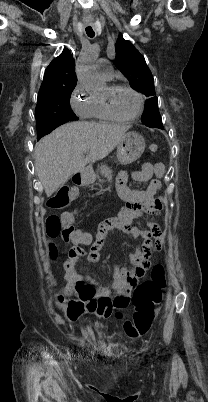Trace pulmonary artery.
Masks as SVG:
<instances>
[{
  "instance_id": "pulmonary-artery-1",
  "label": "pulmonary artery",
  "mask_w": 208,
  "mask_h": 402,
  "mask_svg": "<svg viewBox=\"0 0 208 402\" xmlns=\"http://www.w3.org/2000/svg\"><path fill=\"white\" fill-rule=\"evenodd\" d=\"M82 54H85L86 56H88L91 53H82ZM108 64H109V61L107 59L98 58L93 65L94 70L99 72L100 76L106 80H109L113 77L112 73L110 72Z\"/></svg>"
}]
</instances>
